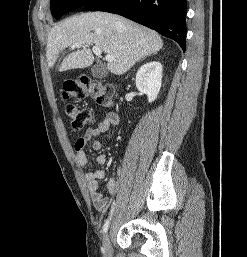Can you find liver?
Masks as SVG:
<instances>
[{
  "label": "liver",
  "instance_id": "obj_1",
  "mask_svg": "<svg viewBox=\"0 0 247 257\" xmlns=\"http://www.w3.org/2000/svg\"><path fill=\"white\" fill-rule=\"evenodd\" d=\"M78 42L82 49L65 57L60 72L91 66L94 56L90 45L114 57L107 67L115 75L124 74L137 61L163 47L160 35L149 28L110 13L90 12L70 17L50 30L46 47L48 65L53 67L63 50Z\"/></svg>",
  "mask_w": 247,
  "mask_h": 257
}]
</instances>
